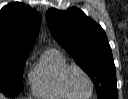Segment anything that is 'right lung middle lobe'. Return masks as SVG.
<instances>
[{
	"label": "right lung middle lobe",
	"instance_id": "right-lung-middle-lobe-1",
	"mask_svg": "<svg viewBox=\"0 0 128 99\" xmlns=\"http://www.w3.org/2000/svg\"><path fill=\"white\" fill-rule=\"evenodd\" d=\"M26 53L0 52V92L17 96L23 89Z\"/></svg>",
	"mask_w": 128,
	"mask_h": 99
}]
</instances>
